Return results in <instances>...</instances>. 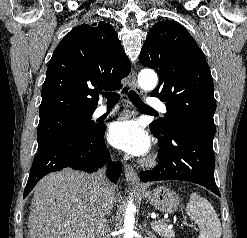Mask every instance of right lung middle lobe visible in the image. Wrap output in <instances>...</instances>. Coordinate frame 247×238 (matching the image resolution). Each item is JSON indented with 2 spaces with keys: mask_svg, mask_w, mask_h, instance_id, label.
I'll list each match as a JSON object with an SVG mask.
<instances>
[{
  "mask_svg": "<svg viewBox=\"0 0 247 238\" xmlns=\"http://www.w3.org/2000/svg\"><path fill=\"white\" fill-rule=\"evenodd\" d=\"M92 113L57 116L40 121L37 129L38 147L66 136H88L97 129Z\"/></svg>",
  "mask_w": 247,
  "mask_h": 238,
  "instance_id": "obj_1",
  "label": "right lung middle lobe"
}]
</instances>
